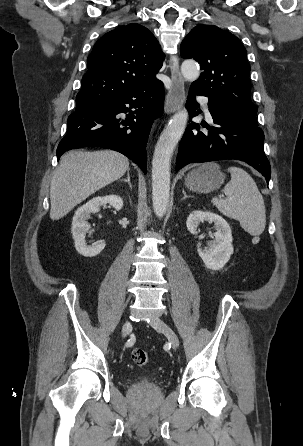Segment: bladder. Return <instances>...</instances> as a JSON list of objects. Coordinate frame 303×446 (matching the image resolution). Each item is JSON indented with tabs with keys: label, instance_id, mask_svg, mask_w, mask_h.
<instances>
[{
	"label": "bladder",
	"instance_id": "31cf9c89",
	"mask_svg": "<svg viewBox=\"0 0 303 446\" xmlns=\"http://www.w3.org/2000/svg\"><path fill=\"white\" fill-rule=\"evenodd\" d=\"M134 385L139 387H149L152 385V381L148 377L140 376L135 379Z\"/></svg>",
	"mask_w": 303,
	"mask_h": 446
}]
</instances>
